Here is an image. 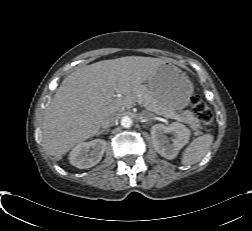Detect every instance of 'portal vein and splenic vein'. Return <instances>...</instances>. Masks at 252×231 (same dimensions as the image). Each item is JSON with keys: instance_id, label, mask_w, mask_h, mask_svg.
Here are the masks:
<instances>
[{"instance_id": "18ae733b", "label": "portal vein and splenic vein", "mask_w": 252, "mask_h": 231, "mask_svg": "<svg viewBox=\"0 0 252 231\" xmlns=\"http://www.w3.org/2000/svg\"><path fill=\"white\" fill-rule=\"evenodd\" d=\"M106 97H107L108 100H111V99H113L114 97H116L115 89H114V88L110 89L109 92L107 93ZM132 104H133V103H132V101H131V99H130L129 97H126V98L124 99V102H123V105H124V106L132 105ZM165 117L173 118V119H176V120H179V121H180V118H179L178 116L167 115V116H165Z\"/></svg>"}]
</instances>
